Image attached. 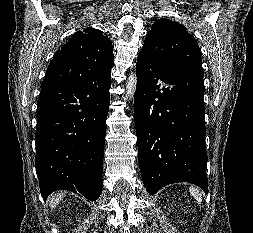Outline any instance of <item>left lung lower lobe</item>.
Here are the masks:
<instances>
[{"label": "left lung lower lobe", "mask_w": 253, "mask_h": 233, "mask_svg": "<svg viewBox=\"0 0 253 233\" xmlns=\"http://www.w3.org/2000/svg\"><path fill=\"white\" fill-rule=\"evenodd\" d=\"M134 96L139 168L154 195L175 182L196 184L208 192L203 76L164 75L140 52Z\"/></svg>", "instance_id": "left-lung-lower-lobe-1"}]
</instances>
